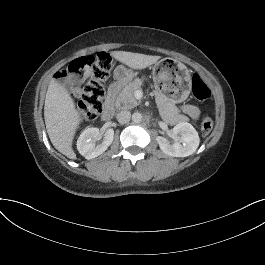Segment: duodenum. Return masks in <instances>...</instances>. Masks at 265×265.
I'll list each match as a JSON object with an SVG mask.
<instances>
[{
	"label": "duodenum",
	"mask_w": 265,
	"mask_h": 265,
	"mask_svg": "<svg viewBox=\"0 0 265 265\" xmlns=\"http://www.w3.org/2000/svg\"><path fill=\"white\" fill-rule=\"evenodd\" d=\"M122 83L123 82L121 80H118L112 83L108 89V93H107V97L105 101V107L102 113V117L105 120H110L115 114L116 96L122 86Z\"/></svg>",
	"instance_id": "obj_1"
}]
</instances>
